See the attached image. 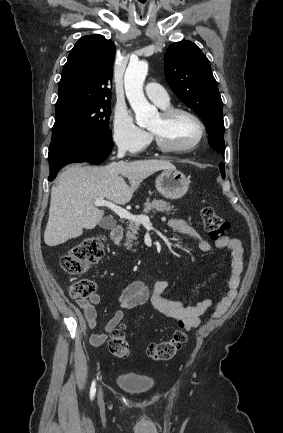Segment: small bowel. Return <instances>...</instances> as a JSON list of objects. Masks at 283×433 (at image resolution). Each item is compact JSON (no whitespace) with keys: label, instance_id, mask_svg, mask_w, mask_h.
Segmentation results:
<instances>
[{"label":"small bowel","instance_id":"c3829d8e","mask_svg":"<svg viewBox=\"0 0 283 433\" xmlns=\"http://www.w3.org/2000/svg\"><path fill=\"white\" fill-rule=\"evenodd\" d=\"M169 228L179 234L191 237L197 247L203 251L211 250V243L200 235L189 223L183 219H170ZM217 249H228L231 252V274L228 279V290L224 297L215 305L211 299H205L195 305H186L178 300L166 299L163 294L169 288V281L158 280L150 288L145 282L135 280L129 283L118 295V308L106 323L104 330L90 337L93 346L102 345L109 334L120 324L124 318L125 310L134 309L146 303L171 320L180 321L186 330L197 328L201 323V317L214 305L213 318L222 316L231 306L238 294L244 262V248L242 242L237 238L222 237L215 242ZM101 301L98 293H92L86 299H77L76 304L82 311L77 314L81 325H87L91 330L98 326L96 305Z\"/></svg>","mask_w":283,"mask_h":433}]
</instances>
